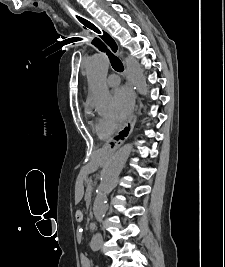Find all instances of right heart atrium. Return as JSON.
I'll return each instance as SVG.
<instances>
[{"label": "right heart atrium", "mask_w": 225, "mask_h": 267, "mask_svg": "<svg viewBox=\"0 0 225 267\" xmlns=\"http://www.w3.org/2000/svg\"><path fill=\"white\" fill-rule=\"evenodd\" d=\"M98 126L101 132L106 136H110L117 129L116 121L113 118H109V117L100 118L98 120Z\"/></svg>", "instance_id": "right-heart-atrium-1"}]
</instances>
